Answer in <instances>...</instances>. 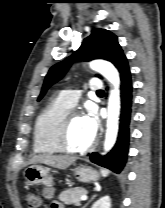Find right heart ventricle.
<instances>
[{
  "mask_svg": "<svg viewBox=\"0 0 165 208\" xmlns=\"http://www.w3.org/2000/svg\"><path fill=\"white\" fill-rule=\"evenodd\" d=\"M69 109L70 107L56 99L40 112L33 132V148L36 153L46 155L61 153L57 144V134Z\"/></svg>",
  "mask_w": 165,
  "mask_h": 208,
  "instance_id": "obj_1",
  "label": "right heart ventricle"
}]
</instances>
